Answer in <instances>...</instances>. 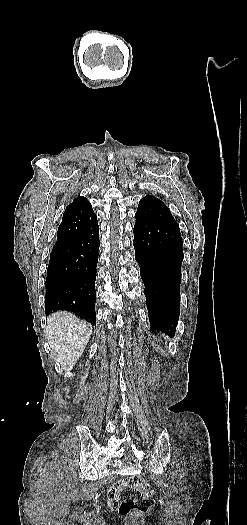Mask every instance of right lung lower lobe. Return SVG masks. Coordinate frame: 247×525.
I'll list each match as a JSON object with an SVG mask.
<instances>
[{
    "label": "right lung lower lobe",
    "mask_w": 247,
    "mask_h": 525,
    "mask_svg": "<svg viewBox=\"0 0 247 525\" xmlns=\"http://www.w3.org/2000/svg\"><path fill=\"white\" fill-rule=\"evenodd\" d=\"M98 223L87 232L54 246L45 282V313L73 312L96 326L95 280L99 250Z\"/></svg>",
    "instance_id": "98d812e1"
}]
</instances>
